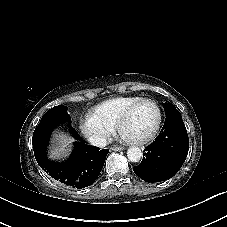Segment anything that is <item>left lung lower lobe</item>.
Segmentation results:
<instances>
[{
	"instance_id": "1",
	"label": "left lung lower lobe",
	"mask_w": 227,
	"mask_h": 227,
	"mask_svg": "<svg viewBox=\"0 0 227 227\" xmlns=\"http://www.w3.org/2000/svg\"><path fill=\"white\" fill-rule=\"evenodd\" d=\"M189 149V139L179 117H167L155 141L146 147L142 162L133 171L146 182H160L173 177L182 167Z\"/></svg>"
}]
</instances>
